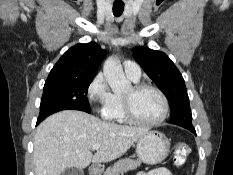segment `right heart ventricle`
Instances as JSON below:
<instances>
[{"instance_id": "obj_1", "label": "right heart ventricle", "mask_w": 233, "mask_h": 175, "mask_svg": "<svg viewBox=\"0 0 233 175\" xmlns=\"http://www.w3.org/2000/svg\"><path fill=\"white\" fill-rule=\"evenodd\" d=\"M104 119L118 123H127L128 120L123 111L122 95L113 94L110 103L102 109Z\"/></svg>"}]
</instances>
